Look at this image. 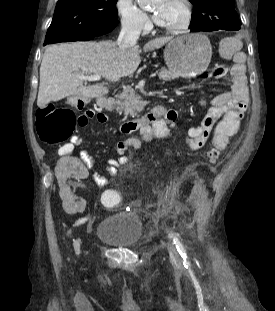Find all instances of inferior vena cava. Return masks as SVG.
<instances>
[{
  "label": "inferior vena cava",
  "mask_w": 275,
  "mask_h": 311,
  "mask_svg": "<svg viewBox=\"0 0 275 311\" xmlns=\"http://www.w3.org/2000/svg\"><path fill=\"white\" fill-rule=\"evenodd\" d=\"M141 33V26L133 24H123L119 37L117 39V45L120 48H129L136 44Z\"/></svg>",
  "instance_id": "602c4592"
}]
</instances>
